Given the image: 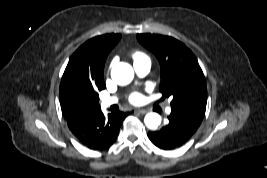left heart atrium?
<instances>
[{"label":"left heart atrium","mask_w":267,"mask_h":178,"mask_svg":"<svg viewBox=\"0 0 267 178\" xmlns=\"http://www.w3.org/2000/svg\"><path fill=\"white\" fill-rule=\"evenodd\" d=\"M128 100L133 104H138L143 100V97L140 92L134 91L129 95Z\"/></svg>","instance_id":"1"}]
</instances>
